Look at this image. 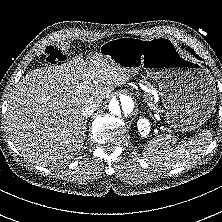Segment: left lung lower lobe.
<instances>
[{
    "instance_id": "obj_1",
    "label": "left lung lower lobe",
    "mask_w": 222,
    "mask_h": 222,
    "mask_svg": "<svg viewBox=\"0 0 222 222\" xmlns=\"http://www.w3.org/2000/svg\"><path fill=\"white\" fill-rule=\"evenodd\" d=\"M190 53H192L194 56H196L197 58H199L197 55H196V53L191 49V48H188L187 49Z\"/></svg>"
}]
</instances>
